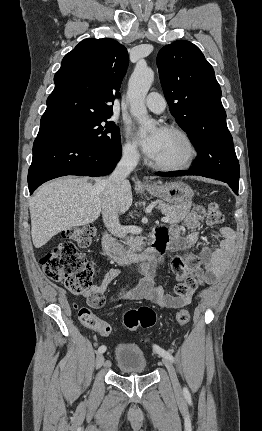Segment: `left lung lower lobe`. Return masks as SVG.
<instances>
[{
	"label": "left lung lower lobe",
	"mask_w": 262,
	"mask_h": 431,
	"mask_svg": "<svg viewBox=\"0 0 262 431\" xmlns=\"http://www.w3.org/2000/svg\"><path fill=\"white\" fill-rule=\"evenodd\" d=\"M156 175H158V176H182V175H199V176H202V175L198 174L197 172H195L194 170L177 171V172H157ZM228 185L232 188L234 193L238 195L239 184L228 183Z\"/></svg>",
	"instance_id": "left-lung-lower-lobe-1"
}]
</instances>
